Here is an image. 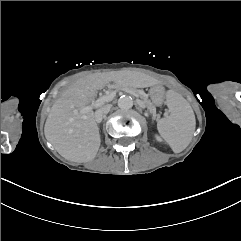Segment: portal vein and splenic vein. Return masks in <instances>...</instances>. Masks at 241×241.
<instances>
[{
  "mask_svg": "<svg viewBox=\"0 0 241 241\" xmlns=\"http://www.w3.org/2000/svg\"><path fill=\"white\" fill-rule=\"evenodd\" d=\"M122 90H125L126 92L132 93L133 95H135L136 93L133 90H129L126 87H122ZM116 93L112 92L110 94L107 95H103L101 97H99L96 101H93L90 105L85 106L82 109L83 113H87L92 111L95 108H98L100 106H102L103 104H105L106 102H111L114 98H115ZM140 99V98H139Z\"/></svg>",
  "mask_w": 241,
  "mask_h": 241,
  "instance_id": "obj_1",
  "label": "portal vein and splenic vein"
}]
</instances>
